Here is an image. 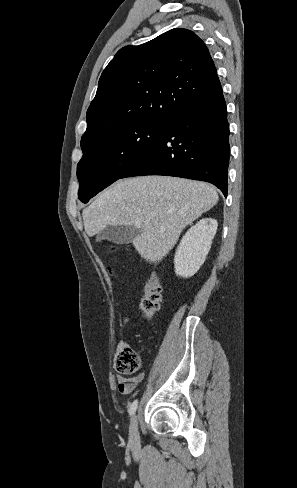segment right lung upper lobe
<instances>
[{"instance_id":"obj_1","label":"right lung upper lobe","mask_w":297,"mask_h":488,"mask_svg":"<svg viewBox=\"0 0 297 488\" xmlns=\"http://www.w3.org/2000/svg\"><path fill=\"white\" fill-rule=\"evenodd\" d=\"M222 89L204 42L172 29L120 49L103 71L87 111L82 151L104 135L133 123L170 121Z\"/></svg>"}]
</instances>
